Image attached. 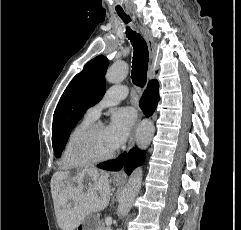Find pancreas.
<instances>
[{"label":"pancreas","mask_w":241,"mask_h":230,"mask_svg":"<svg viewBox=\"0 0 241 230\" xmlns=\"http://www.w3.org/2000/svg\"><path fill=\"white\" fill-rule=\"evenodd\" d=\"M97 230H110V229L106 227L103 222H100Z\"/></svg>","instance_id":"cf45deb5"}]
</instances>
